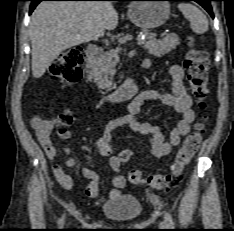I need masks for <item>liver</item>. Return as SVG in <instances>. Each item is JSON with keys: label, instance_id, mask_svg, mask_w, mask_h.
Masks as SVG:
<instances>
[{"label": "liver", "instance_id": "1", "mask_svg": "<svg viewBox=\"0 0 234 231\" xmlns=\"http://www.w3.org/2000/svg\"><path fill=\"white\" fill-rule=\"evenodd\" d=\"M118 25L110 2H41L31 16L32 75L40 78L63 51L102 37Z\"/></svg>", "mask_w": 234, "mask_h": 231}]
</instances>
